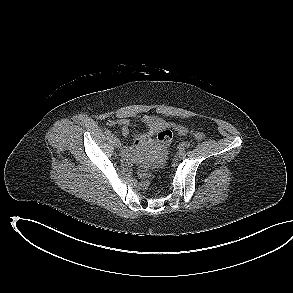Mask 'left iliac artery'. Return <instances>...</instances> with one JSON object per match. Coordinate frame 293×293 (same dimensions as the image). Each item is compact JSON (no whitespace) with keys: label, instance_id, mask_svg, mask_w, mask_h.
<instances>
[{"label":"left iliac artery","instance_id":"left-iliac-artery-1","mask_svg":"<svg viewBox=\"0 0 293 293\" xmlns=\"http://www.w3.org/2000/svg\"><path fill=\"white\" fill-rule=\"evenodd\" d=\"M188 148V144L186 143H181L179 146V151H184Z\"/></svg>","mask_w":293,"mask_h":293}]
</instances>
